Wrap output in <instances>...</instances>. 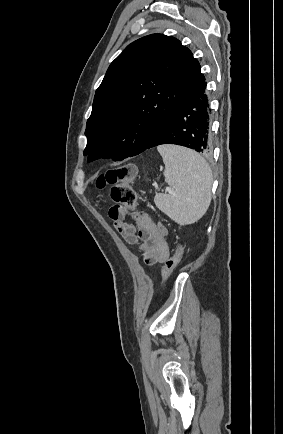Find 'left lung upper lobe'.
Here are the masks:
<instances>
[{
  "label": "left lung upper lobe",
  "mask_w": 283,
  "mask_h": 434,
  "mask_svg": "<svg viewBox=\"0 0 283 434\" xmlns=\"http://www.w3.org/2000/svg\"><path fill=\"white\" fill-rule=\"evenodd\" d=\"M204 80L192 52L172 36L129 44L96 90L85 131L88 162L143 152L173 107Z\"/></svg>",
  "instance_id": "obj_1"
}]
</instances>
